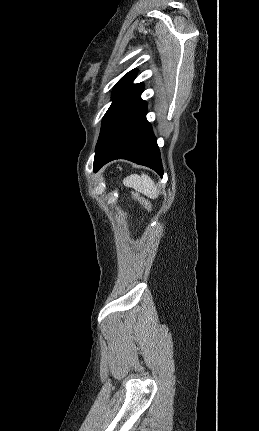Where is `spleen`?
I'll use <instances>...</instances> for the list:
<instances>
[{
  "mask_svg": "<svg viewBox=\"0 0 259 431\" xmlns=\"http://www.w3.org/2000/svg\"><path fill=\"white\" fill-rule=\"evenodd\" d=\"M123 184L135 189L137 192L144 194L150 199L158 197L157 186L147 174H131L123 180Z\"/></svg>",
  "mask_w": 259,
  "mask_h": 431,
  "instance_id": "3e777b00",
  "label": "spleen"
}]
</instances>
